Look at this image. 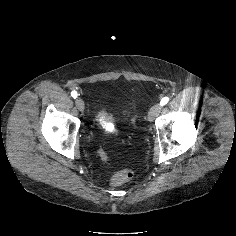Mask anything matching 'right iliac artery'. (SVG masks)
I'll list each match as a JSON object with an SVG mask.
<instances>
[{
    "label": "right iliac artery",
    "instance_id": "1",
    "mask_svg": "<svg viewBox=\"0 0 236 236\" xmlns=\"http://www.w3.org/2000/svg\"><path fill=\"white\" fill-rule=\"evenodd\" d=\"M71 96H72L73 98H76V97L78 96V94H77L76 91H72V92H71Z\"/></svg>",
    "mask_w": 236,
    "mask_h": 236
}]
</instances>
